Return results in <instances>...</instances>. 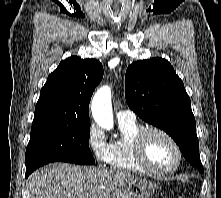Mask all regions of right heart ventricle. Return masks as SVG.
<instances>
[{
  "label": "right heart ventricle",
  "instance_id": "e07e8e85",
  "mask_svg": "<svg viewBox=\"0 0 221 198\" xmlns=\"http://www.w3.org/2000/svg\"><path fill=\"white\" fill-rule=\"evenodd\" d=\"M143 127L135 121L119 122L120 136L110 143L108 164L120 171L146 173L139 165L134 152V140Z\"/></svg>",
  "mask_w": 221,
  "mask_h": 198
}]
</instances>
